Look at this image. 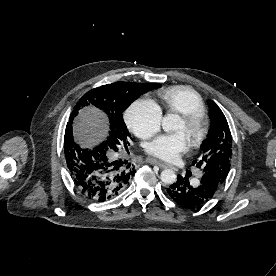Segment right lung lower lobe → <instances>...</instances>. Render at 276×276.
<instances>
[{"label": "right lung lower lobe", "mask_w": 276, "mask_h": 276, "mask_svg": "<svg viewBox=\"0 0 276 276\" xmlns=\"http://www.w3.org/2000/svg\"><path fill=\"white\" fill-rule=\"evenodd\" d=\"M66 163L76 189L87 199L104 202L116 197L129 184L135 169L110 160L111 150L102 145L82 149L74 142L72 122H68L64 137Z\"/></svg>", "instance_id": "1"}]
</instances>
